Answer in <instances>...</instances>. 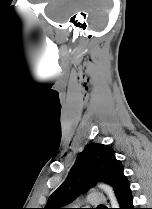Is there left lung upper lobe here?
Returning a JSON list of instances; mask_svg holds the SVG:
<instances>
[{"label": "left lung upper lobe", "instance_id": "1", "mask_svg": "<svg viewBox=\"0 0 152 209\" xmlns=\"http://www.w3.org/2000/svg\"><path fill=\"white\" fill-rule=\"evenodd\" d=\"M123 170L122 163L115 158L110 146L89 144L77 156L66 180L50 195L44 209H63V206L93 187L96 181H104L117 193L127 180Z\"/></svg>", "mask_w": 152, "mask_h": 209}]
</instances>
